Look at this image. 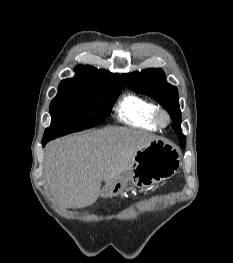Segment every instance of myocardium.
Returning a JSON list of instances; mask_svg holds the SVG:
<instances>
[{"instance_id":"1","label":"myocardium","mask_w":233,"mask_h":263,"mask_svg":"<svg viewBox=\"0 0 233 263\" xmlns=\"http://www.w3.org/2000/svg\"><path fill=\"white\" fill-rule=\"evenodd\" d=\"M154 120L159 127L164 128L170 124L171 117L165 109L157 108L154 115Z\"/></svg>"}]
</instances>
